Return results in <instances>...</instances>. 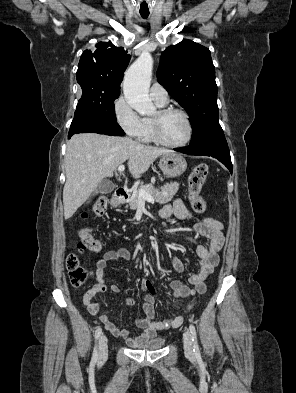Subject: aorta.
I'll return each mask as SVG.
<instances>
[{
  "label": "aorta",
  "instance_id": "762f6f07",
  "mask_svg": "<svg viewBox=\"0 0 296 393\" xmlns=\"http://www.w3.org/2000/svg\"><path fill=\"white\" fill-rule=\"evenodd\" d=\"M153 59L141 54L125 73L123 92L127 103L140 115H150L155 107L149 98Z\"/></svg>",
  "mask_w": 296,
  "mask_h": 393
}]
</instances>
